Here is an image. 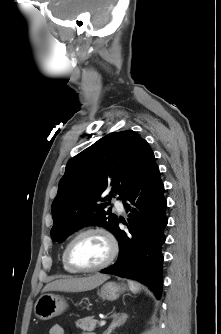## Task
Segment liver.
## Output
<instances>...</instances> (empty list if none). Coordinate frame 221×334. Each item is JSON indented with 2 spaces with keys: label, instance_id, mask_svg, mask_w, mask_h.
I'll list each match as a JSON object with an SVG mask.
<instances>
[{
  "label": "liver",
  "instance_id": "obj_1",
  "mask_svg": "<svg viewBox=\"0 0 221 334\" xmlns=\"http://www.w3.org/2000/svg\"><path fill=\"white\" fill-rule=\"evenodd\" d=\"M109 279L108 275L105 274H95L89 275L87 277H75L60 279L48 283L42 290V292L47 291H66V292H79L92 290L103 282Z\"/></svg>",
  "mask_w": 221,
  "mask_h": 334
}]
</instances>
